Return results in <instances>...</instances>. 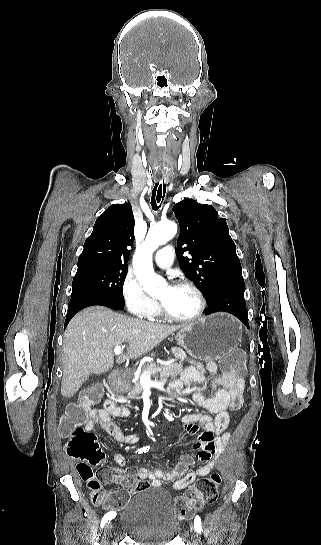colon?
<instances>
[{
  "mask_svg": "<svg viewBox=\"0 0 321 545\" xmlns=\"http://www.w3.org/2000/svg\"><path fill=\"white\" fill-rule=\"evenodd\" d=\"M224 374L235 378H242L245 374L243 356L240 352L232 351L221 360ZM101 397V389L97 386L85 390L79 401L68 406L59 423V433L65 439L66 453L81 460H98L103 452L99 448L95 434L85 429V423L91 408ZM83 479L90 490V498L94 504L102 505L105 509L120 510L128 502L131 492H138L150 487L149 482L138 479L133 472L123 482L129 489L107 493L102 486V477L85 474ZM221 477L213 473L209 477H201L195 485L190 487L183 496L176 499V514L180 519L190 518L194 511L205 504L213 503L218 496Z\"/></svg>",
  "mask_w": 321,
  "mask_h": 545,
  "instance_id": "5ec220e1",
  "label": "colon"
}]
</instances>
